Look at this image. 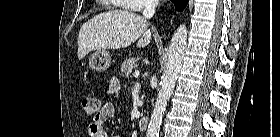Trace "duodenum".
Wrapping results in <instances>:
<instances>
[{"label":"duodenum","instance_id":"1","mask_svg":"<svg viewBox=\"0 0 280 137\" xmlns=\"http://www.w3.org/2000/svg\"><path fill=\"white\" fill-rule=\"evenodd\" d=\"M138 125L141 131H147L149 126V118L147 116H142L139 119Z\"/></svg>","mask_w":280,"mask_h":137}]
</instances>
